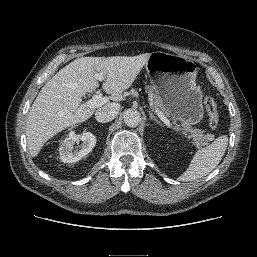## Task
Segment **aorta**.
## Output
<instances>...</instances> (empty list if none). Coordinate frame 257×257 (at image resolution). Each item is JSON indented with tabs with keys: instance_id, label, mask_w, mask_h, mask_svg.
<instances>
[{
	"instance_id": "aorta-1",
	"label": "aorta",
	"mask_w": 257,
	"mask_h": 257,
	"mask_svg": "<svg viewBox=\"0 0 257 257\" xmlns=\"http://www.w3.org/2000/svg\"><path fill=\"white\" fill-rule=\"evenodd\" d=\"M124 123L129 127H136L141 122L140 112L136 109H127L123 114Z\"/></svg>"
}]
</instances>
